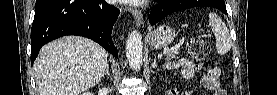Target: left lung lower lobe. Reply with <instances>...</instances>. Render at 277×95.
Segmentation results:
<instances>
[{
    "label": "left lung lower lobe",
    "mask_w": 277,
    "mask_h": 95,
    "mask_svg": "<svg viewBox=\"0 0 277 95\" xmlns=\"http://www.w3.org/2000/svg\"><path fill=\"white\" fill-rule=\"evenodd\" d=\"M202 1L203 0H157L158 3L150 12L149 23L154 25L167 15L182 9L192 8L193 5H198ZM214 8H217L227 14L225 5Z\"/></svg>",
    "instance_id": "1"
}]
</instances>
